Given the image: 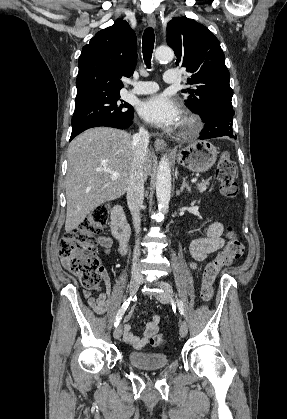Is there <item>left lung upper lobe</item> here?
Returning <instances> with one entry per match:
<instances>
[{"label":"left lung upper lobe","mask_w":287,"mask_h":419,"mask_svg":"<svg viewBox=\"0 0 287 419\" xmlns=\"http://www.w3.org/2000/svg\"><path fill=\"white\" fill-rule=\"evenodd\" d=\"M167 44L174 50L177 66L191 73L186 94L187 106L200 116L219 102H231L233 90L218 39L202 24L185 17L167 24Z\"/></svg>","instance_id":"left-lung-upper-lobe-1"}]
</instances>
